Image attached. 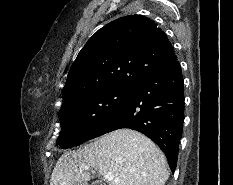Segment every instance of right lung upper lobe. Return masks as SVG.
Wrapping results in <instances>:
<instances>
[{
  "mask_svg": "<svg viewBox=\"0 0 233 185\" xmlns=\"http://www.w3.org/2000/svg\"><path fill=\"white\" fill-rule=\"evenodd\" d=\"M177 60L166 34L142 15L110 22L85 44L63 89V106L84 95L135 83Z\"/></svg>",
  "mask_w": 233,
  "mask_h": 185,
  "instance_id": "cb5924a9",
  "label": "right lung upper lobe"
}]
</instances>
